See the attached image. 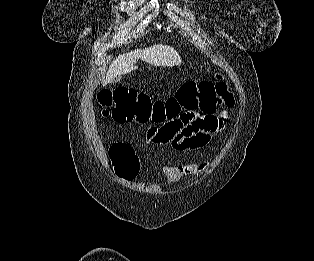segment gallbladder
Segmentation results:
<instances>
[{"instance_id":"bac80fb5","label":"gallbladder","mask_w":314,"mask_h":261,"mask_svg":"<svg viewBox=\"0 0 314 261\" xmlns=\"http://www.w3.org/2000/svg\"><path fill=\"white\" fill-rule=\"evenodd\" d=\"M121 80V76H117L112 80V83H117Z\"/></svg>"}]
</instances>
